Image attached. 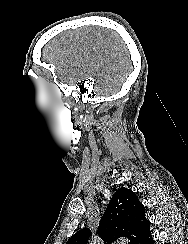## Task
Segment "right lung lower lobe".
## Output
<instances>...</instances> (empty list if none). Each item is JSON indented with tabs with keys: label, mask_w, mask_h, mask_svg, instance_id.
I'll list each match as a JSON object with an SVG mask.
<instances>
[{
	"label": "right lung lower lobe",
	"mask_w": 188,
	"mask_h": 244,
	"mask_svg": "<svg viewBox=\"0 0 188 244\" xmlns=\"http://www.w3.org/2000/svg\"><path fill=\"white\" fill-rule=\"evenodd\" d=\"M138 244H154V241H153V238H152V235H151L149 229L145 233V235L143 236V238L138 242Z\"/></svg>",
	"instance_id": "obj_1"
}]
</instances>
